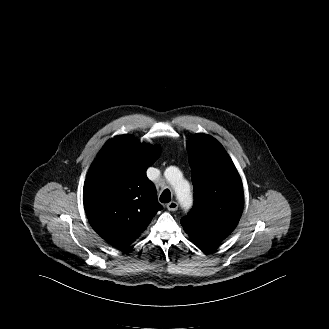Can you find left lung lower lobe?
I'll return each mask as SVG.
<instances>
[{"label":"left lung lower lobe","instance_id":"0a47b994","mask_svg":"<svg viewBox=\"0 0 329 329\" xmlns=\"http://www.w3.org/2000/svg\"><path fill=\"white\" fill-rule=\"evenodd\" d=\"M221 241H219V240H217V241H204V242H198L197 245H199L200 249L203 252H207V251L213 250Z\"/></svg>","mask_w":329,"mask_h":329}]
</instances>
